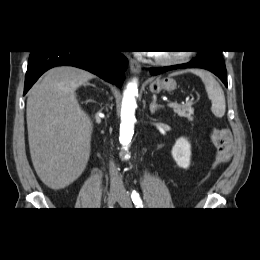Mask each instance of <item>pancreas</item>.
<instances>
[{
    "label": "pancreas",
    "instance_id": "cf45deb5",
    "mask_svg": "<svg viewBox=\"0 0 260 260\" xmlns=\"http://www.w3.org/2000/svg\"><path fill=\"white\" fill-rule=\"evenodd\" d=\"M172 108L174 113L178 114L180 117L187 118L190 121L193 120L192 115L194 114V109L191 107L190 104L178 105Z\"/></svg>",
    "mask_w": 260,
    "mask_h": 260
}]
</instances>
